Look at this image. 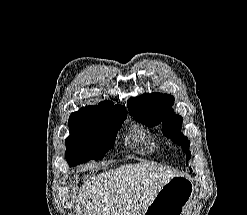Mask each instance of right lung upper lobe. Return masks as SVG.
Returning <instances> with one entry per match:
<instances>
[{"instance_id": "obj_1", "label": "right lung upper lobe", "mask_w": 247, "mask_h": 215, "mask_svg": "<svg viewBox=\"0 0 247 215\" xmlns=\"http://www.w3.org/2000/svg\"><path fill=\"white\" fill-rule=\"evenodd\" d=\"M89 112L103 113V114H126V108L124 106L115 105L111 101H103L99 106L84 107Z\"/></svg>"}]
</instances>
